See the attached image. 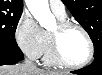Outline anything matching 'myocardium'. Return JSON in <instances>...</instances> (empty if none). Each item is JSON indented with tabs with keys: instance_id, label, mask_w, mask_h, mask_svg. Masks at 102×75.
Listing matches in <instances>:
<instances>
[{
	"instance_id": "f54148a6",
	"label": "myocardium",
	"mask_w": 102,
	"mask_h": 75,
	"mask_svg": "<svg viewBox=\"0 0 102 75\" xmlns=\"http://www.w3.org/2000/svg\"><path fill=\"white\" fill-rule=\"evenodd\" d=\"M73 28L80 30L84 34L88 43V55L86 59L79 64H73L66 60L61 51L60 38L62 37V35ZM50 45L53 60L55 61V63L64 67L77 68L84 66L93 58L94 55V45L88 31L82 25L74 21H59L56 25V28L50 32Z\"/></svg>"
}]
</instances>
